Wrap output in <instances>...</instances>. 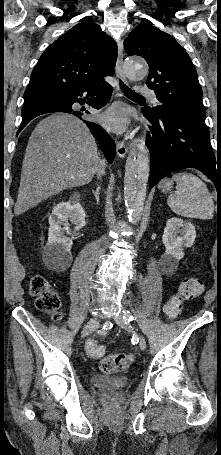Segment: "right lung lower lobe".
Here are the masks:
<instances>
[{"mask_svg": "<svg viewBox=\"0 0 221 455\" xmlns=\"http://www.w3.org/2000/svg\"><path fill=\"white\" fill-rule=\"evenodd\" d=\"M112 90L113 88L110 84L105 82L102 78H96L77 84L56 98L26 104L22 108V122L18 132H20L28 122L39 115L53 112L69 113L80 118L88 126L93 136L99 142L107 161L112 163L116 153L115 142L101 126L82 119L84 114L82 111L84 110H77L72 107L74 103L84 104L87 100V103L90 106L100 109L109 101ZM83 95L86 97L85 99L80 98V96ZM86 113L89 112L86 111Z\"/></svg>", "mask_w": 221, "mask_h": 455, "instance_id": "obj_1", "label": "right lung lower lobe"}]
</instances>
